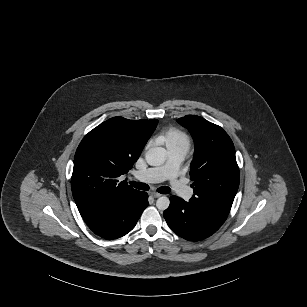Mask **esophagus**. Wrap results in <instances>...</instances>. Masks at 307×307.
Wrapping results in <instances>:
<instances>
[{
	"instance_id": "obj_1",
	"label": "esophagus",
	"mask_w": 307,
	"mask_h": 307,
	"mask_svg": "<svg viewBox=\"0 0 307 307\" xmlns=\"http://www.w3.org/2000/svg\"><path fill=\"white\" fill-rule=\"evenodd\" d=\"M150 195L153 197V198H159L161 196V194L157 193V192H151Z\"/></svg>"
}]
</instances>
